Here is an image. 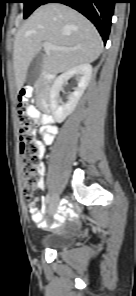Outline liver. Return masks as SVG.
<instances>
[{
	"label": "liver",
	"instance_id": "1",
	"mask_svg": "<svg viewBox=\"0 0 136 296\" xmlns=\"http://www.w3.org/2000/svg\"><path fill=\"white\" fill-rule=\"evenodd\" d=\"M43 42L65 49L47 50L43 55L42 70L48 75L91 63L103 50L97 29L81 13L60 3L41 5L15 36L13 63L17 91L23 87L29 64L39 54Z\"/></svg>",
	"mask_w": 136,
	"mask_h": 296
}]
</instances>
